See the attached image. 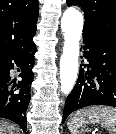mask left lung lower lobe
Masks as SVG:
<instances>
[{
	"label": "left lung lower lobe",
	"mask_w": 116,
	"mask_h": 134,
	"mask_svg": "<svg viewBox=\"0 0 116 134\" xmlns=\"http://www.w3.org/2000/svg\"><path fill=\"white\" fill-rule=\"evenodd\" d=\"M84 57L78 81L67 97L63 120L81 108L104 105L116 107V38L101 33H83ZM82 49V46H81Z\"/></svg>",
	"instance_id": "left-lung-lower-lobe-1"
}]
</instances>
